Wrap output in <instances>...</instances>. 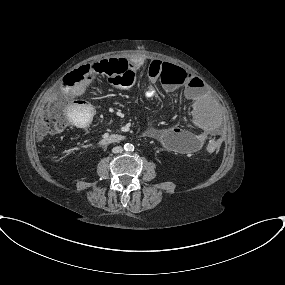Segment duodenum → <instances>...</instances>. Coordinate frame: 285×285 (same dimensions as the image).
Returning a JSON list of instances; mask_svg holds the SVG:
<instances>
[{"label":"duodenum","instance_id":"410a0bca","mask_svg":"<svg viewBox=\"0 0 285 285\" xmlns=\"http://www.w3.org/2000/svg\"><path fill=\"white\" fill-rule=\"evenodd\" d=\"M123 139L124 138L122 136L118 135V134H112V135H110V136H108L106 138V141H108V142H116V141H121Z\"/></svg>","mask_w":285,"mask_h":285}]
</instances>
